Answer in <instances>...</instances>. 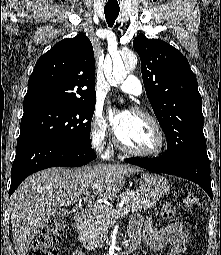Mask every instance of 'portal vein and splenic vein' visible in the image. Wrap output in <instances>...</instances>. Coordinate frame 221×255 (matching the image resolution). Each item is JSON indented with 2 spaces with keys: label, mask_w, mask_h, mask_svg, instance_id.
Returning <instances> with one entry per match:
<instances>
[{
  "label": "portal vein and splenic vein",
  "mask_w": 221,
  "mask_h": 255,
  "mask_svg": "<svg viewBox=\"0 0 221 255\" xmlns=\"http://www.w3.org/2000/svg\"><path fill=\"white\" fill-rule=\"evenodd\" d=\"M88 197H89L88 194H86L82 199L87 200ZM88 206L91 210L96 211V212H102L104 210H107V208H105L104 206L99 205V204L92 205L90 203V204H88ZM128 212H129L128 206H125V207L119 209L118 211H116V215L119 217V216H123V215L127 214Z\"/></svg>",
  "instance_id": "portal-vein-and-splenic-vein-1"
}]
</instances>
